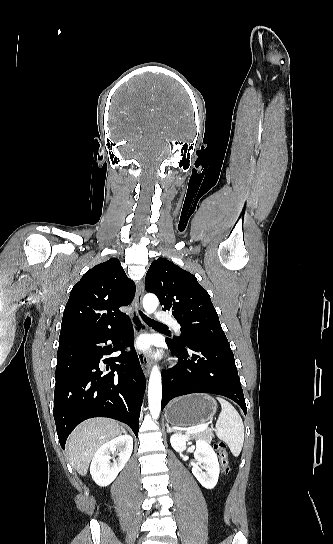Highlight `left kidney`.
<instances>
[{"mask_svg": "<svg viewBox=\"0 0 333 544\" xmlns=\"http://www.w3.org/2000/svg\"><path fill=\"white\" fill-rule=\"evenodd\" d=\"M190 440L188 435L176 433L170 437L171 446L177 452L186 449V443ZM194 457L197 463L193 466L192 472L201 485L207 489H213L219 478V462L214 449L205 440L196 441ZM204 469L205 471H203Z\"/></svg>", "mask_w": 333, "mask_h": 544, "instance_id": "left-kidney-1", "label": "left kidney"}]
</instances>
